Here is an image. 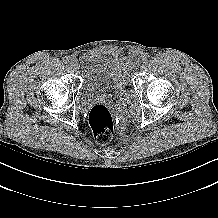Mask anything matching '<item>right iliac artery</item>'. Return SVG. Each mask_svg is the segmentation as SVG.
I'll return each instance as SVG.
<instances>
[{"mask_svg": "<svg viewBox=\"0 0 218 218\" xmlns=\"http://www.w3.org/2000/svg\"><path fill=\"white\" fill-rule=\"evenodd\" d=\"M70 61V57L69 56H65L64 58H63V62L64 63H68Z\"/></svg>", "mask_w": 218, "mask_h": 218, "instance_id": "82829eb1", "label": "right iliac artery"}]
</instances>
